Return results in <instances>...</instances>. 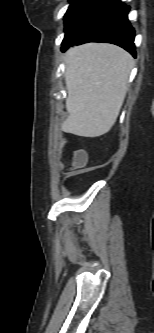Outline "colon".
<instances>
[{"instance_id": "obj_1", "label": "colon", "mask_w": 154, "mask_h": 333, "mask_svg": "<svg viewBox=\"0 0 154 333\" xmlns=\"http://www.w3.org/2000/svg\"><path fill=\"white\" fill-rule=\"evenodd\" d=\"M85 163H86L85 154L82 151L76 152L74 154L73 163L69 168L67 174L69 176H75L81 173L83 167L85 166Z\"/></svg>"}]
</instances>
